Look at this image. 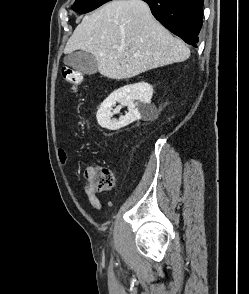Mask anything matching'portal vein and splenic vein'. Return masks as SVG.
<instances>
[{"label": "portal vein and splenic vein", "instance_id": "portal-vein-and-splenic-vein-1", "mask_svg": "<svg viewBox=\"0 0 249 294\" xmlns=\"http://www.w3.org/2000/svg\"><path fill=\"white\" fill-rule=\"evenodd\" d=\"M118 51H119V52H122V51H123V48H120Z\"/></svg>", "mask_w": 249, "mask_h": 294}]
</instances>
